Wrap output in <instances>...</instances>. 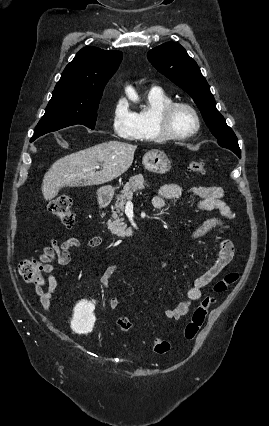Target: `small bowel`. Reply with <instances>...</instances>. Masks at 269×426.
Here are the masks:
<instances>
[{
	"label": "small bowel",
	"mask_w": 269,
	"mask_h": 426,
	"mask_svg": "<svg viewBox=\"0 0 269 426\" xmlns=\"http://www.w3.org/2000/svg\"><path fill=\"white\" fill-rule=\"evenodd\" d=\"M190 193L197 198L196 208L200 211H218L220 217H214L204 221L193 233L192 238L198 239L207 235L213 230L220 228L224 224V220L234 218L233 212L224 202V190L221 187L212 186H195L190 189ZM183 195V188L176 184L162 185L157 195L152 200L155 209L162 210L168 199H177ZM103 243L102 236H93L85 242L71 237L62 242L51 239L50 243L43 247L39 255L42 270L46 274V289L42 285H35L34 289L39 296L40 303L44 310H51V298L55 292L58 282L55 276L54 262L61 266L68 265L71 261L70 251L82 247L96 248ZM234 257V245L229 239H223L220 242V250L214 264L202 275L195 278L192 287L187 291V298L181 301L175 308L168 309L164 312L163 317L171 320H179L184 317L192 302L201 299L203 289L206 288L232 261ZM119 266L112 264L106 267L101 274L99 283L104 290H108L110 279L117 273ZM111 308L119 306V299L112 298L109 301Z\"/></svg>",
	"instance_id": "obj_1"
}]
</instances>
